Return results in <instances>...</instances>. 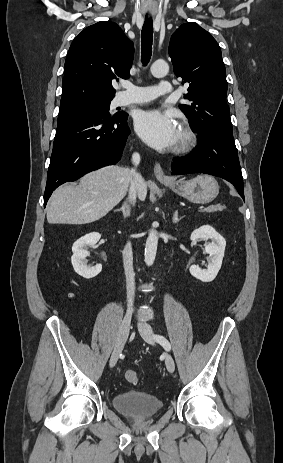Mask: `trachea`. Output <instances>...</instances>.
<instances>
[{"instance_id":"3493384b","label":"trachea","mask_w":283,"mask_h":463,"mask_svg":"<svg viewBox=\"0 0 283 463\" xmlns=\"http://www.w3.org/2000/svg\"><path fill=\"white\" fill-rule=\"evenodd\" d=\"M153 43V22L152 18H145L144 25L141 31V53L142 63L147 65L152 54Z\"/></svg>"}]
</instances>
